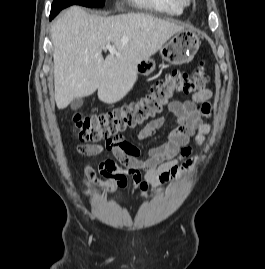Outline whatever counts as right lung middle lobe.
Instances as JSON below:
<instances>
[{
  "label": "right lung middle lobe",
  "instance_id": "1",
  "mask_svg": "<svg viewBox=\"0 0 265 269\" xmlns=\"http://www.w3.org/2000/svg\"><path fill=\"white\" fill-rule=\"evenodd\" d=\"M105 0H53L51 10L61 11L62 9L73 5H82L86 7H102L104 6Z\"/></svg>",
  "mask_w": 265,
  "mask_h": 269
}]
</instances>
